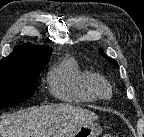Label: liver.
I'll list each match as a JSON object with an SVG mask.
<instances>
[{"label":"liver","instance_id":"1","mask_svg":"<svg viewBox=\"0 0 144 137\" xmlns=\"http://www.w3.org/2000/svg\"><path fill=\"white\" fill-rule=\"evenodd\" d=\"M98 116L82 107L54 104L0 117V137H68Z\"/></svg>","mask_w":144,"mask_h":137}]
</instances>
